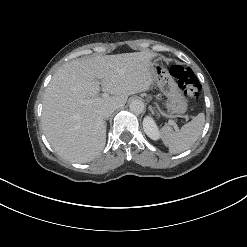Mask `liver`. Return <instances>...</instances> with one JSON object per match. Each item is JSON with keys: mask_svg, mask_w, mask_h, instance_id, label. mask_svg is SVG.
<instances>
[{"mask_svg": "<svg viewBox=\"0 0 247 247\" xmlns=\"http://www.w3.org/2000/svg\"><path fill=\"white\" fill-rule=\"evenodd\" d=\"M153 57L146 52L96 56L59 68L45 90L42 111L43 130L55 152L75 163L97 157L106 144L102 107H123L129 95L149 90ZM100 85L113 96L99 97Z\"/></svg>", "mask_w": 247, "mask_h": 247, "instance_id": "liver-1", "label": "liver"}]
</instances>
